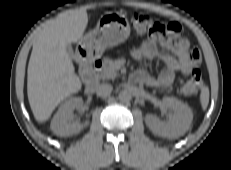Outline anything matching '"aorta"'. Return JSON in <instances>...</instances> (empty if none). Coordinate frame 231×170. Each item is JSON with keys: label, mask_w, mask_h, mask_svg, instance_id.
I'll list each match as a JSON object with an SVG mask.
<instances>
[{"label": "aorta", "mask_w": 231, "mask_h": 170, "mask_svg": "<svg viewBox=\"0 0 231 170\" xmlns=\"http://www.w3.org/2000/svg\"><path fill=\"white\" fill-rule=\"evenodd\" d=\"M118 98L121 102H129L132 99V95L128 91H121Z\"/></svg>", "instance_id": "1"}]
</instances>
